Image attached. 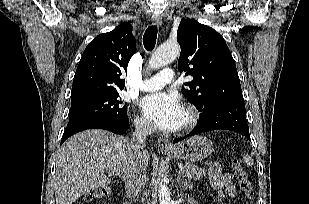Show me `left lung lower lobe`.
<instances>
[{"label":"left lung lower lobe","mask_w":309,"mask_h":204,"mask_svg":"<svg viewBox=\"0 0 309 204\" xmlns=\"http://www.w3.org/2000/svg\"><path fill=\"white\" fill-rule=\"evenodd\" d=\"M217 129L231 130L250 140L243 100L221 102L201 112L198 125L188 135L176 138L173 142L177 143L186 137Z\"/></svg>","instance_id":"left-lung-lower-lobe-1"}]
</instances>
